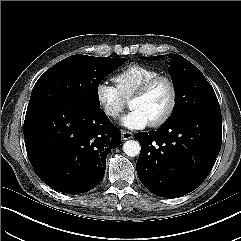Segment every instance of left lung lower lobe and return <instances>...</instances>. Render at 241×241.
Segmentation results:
<instances>
[{
    "label": "left lung lower lobe",
    "mask_w": 241,
    "mask_h": 241,
    "mask_svg": "<svg viewBox=\"0 0 241 241\" xmlns=\"http://www.w3.org/2000/svg\"><path fill=\"white\" fill-rule=\"evenodd\" d=\"M135 138L141 145L136 167L142 184L160 197L183 196L205 180L220 152L221 112L186 113Z\"/></svg>",
    "instance_id": "1"
}]
</instances>
